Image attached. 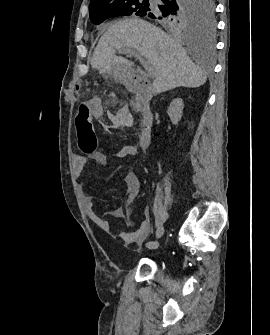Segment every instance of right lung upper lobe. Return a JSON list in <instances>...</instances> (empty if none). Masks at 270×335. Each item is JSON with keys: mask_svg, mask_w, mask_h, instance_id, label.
<instances>
[{"mask_svg": "<svg viewBox=\"0 0 270 335\" xmlns=\"http://www.w3.org/2000/svg\"><path fill=\"white\" fill-rule=\"evenodd\" d=\"M112 0H90V7L101 6L103 4L109 3Z\"/></svg>", "mask_w": 270, "mask_h": 335, "instance_id": "cb5924a9", "label": "right lung upper lobe"}]
</instances>
